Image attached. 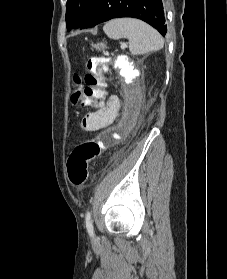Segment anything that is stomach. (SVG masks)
<instances>
[{"instance_id":"1","label":"stomach","mask_w":227,"mask_h":279,"mask_svg":"<svg viewBox=\"0 0 227 279\" xmlns=\"http://www.w3.org/2000/svg\"><path fill=\"white\" fill-rule=\"evenodd\" d=\"M104 47H105V45L103 43H98L95 45L96 49H100V48H104Z\"/></svg>"}]
</instances>
